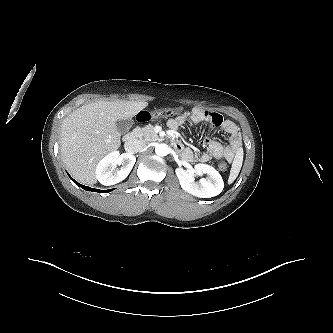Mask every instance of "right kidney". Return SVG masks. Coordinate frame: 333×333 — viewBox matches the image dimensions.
I'll return each mask as SVG.
<instances>
[{"mask_svg":"<svg viewBox=\"0 0 333 333\" xmlns=\"http://www.w3.org/2000/svg\"><path fill=\"white\" fill-rule=\"evenodd\" d=\"M136 158L129 153L120 154L118 151L109 153L100 160L96 167V178L105 186L123 181L132 170ZM121 166L116 168V166Z\"/></svg>","mask_w":333,"mask_h":333,"instance_id":"ca27d5eb","label":"right kidney"}]
</instances>
